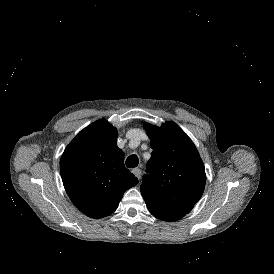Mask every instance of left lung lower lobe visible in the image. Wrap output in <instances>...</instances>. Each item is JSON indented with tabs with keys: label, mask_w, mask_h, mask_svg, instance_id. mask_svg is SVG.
<instances>
[{
	"label": "left lung lower lobe",
	"mask_w": 274,
	"mask_h": 274,
	"mask_svg": "<svg viewBox=\"0 0 274 274\" xmlns=\"http://www.w3.org/2000/svg\"><path fill=\"white\" fill-rule=\"evenodd\" d=\"M144 200L151 214L157 217L158 219H161L164 221H175L185 215V213L183 212L175 211V210L166 208L162 205L155 204L149 199H144Z\"/></svg>",
	"instance_id": "0a47b994"
}]
</instances>
